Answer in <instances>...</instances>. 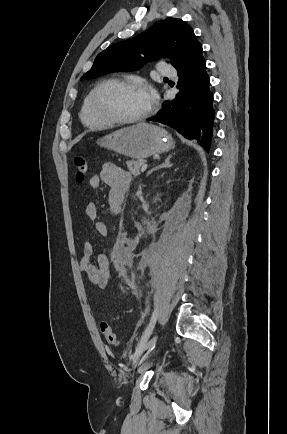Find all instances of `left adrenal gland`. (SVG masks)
Masks as SVG:
<instances>
[{
    "instance_id": "obj_1",
    "label": "left adrenal gland",
    "mask_w": 287,
    "mask_h": 434,
    "mask_svg": "<svg viewBox=\"0 0 287 434\" xmlns=\"http://www.w3.org/2000/svg\"><path fill=\"white\" fill-rule=\"evenodd\" d=\"M171 157H172V155H169V156L165 159V161H164L163 164H161V165H159V166H157V167L151 169V170L149 171L148 175L151 174L152 172L158 170V169L171 167V166H172V164L170 163V159H171Z\"/></svg>"
}]
</instances>
